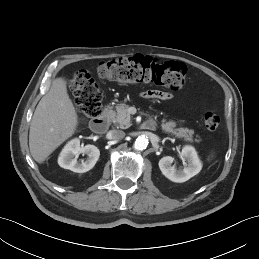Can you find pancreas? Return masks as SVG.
Segmentation results:
<instances>
[{
    "mask_svg": "<svg viewBox=\"0 0 259 259\" xmlns=\"http://www.w3.org/2000/svg\"><path fill=\"white\" fill-rule=\"evenodd\" d=\"M128 105L125 103H120L116 106V111H108L106 115L114 122L119 124L120 128L126 129L131 126V117L128 112ZM162 129L165 133H170L175 135L179 139H184L189 142H200V139H193L194 130L188 128H176V122L169 121L166 122L165 119L162 120ZM199 137V136H197Z\"/></svg>",
    "mask_w": 259,
    "mask_h": 259,
    "instance_id": "obj_1",
    "label": "pancreas"
}]
</instances>
